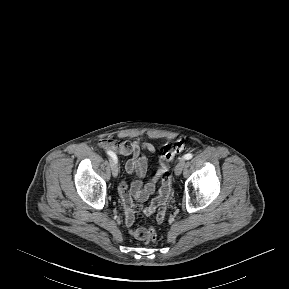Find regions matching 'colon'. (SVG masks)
Segmentation results:
<instances>
[{"instance_id":"obj_1","label":"colon","mask_w":289,"mask_h":289,"mask_svg":"<svg viewBox=\"0 0 289 289\" xmlns=\"http://www.w3.org/2000/svg\"><path fill=\"white\" fill-rule=\"evenodd\" d=\"M183 148H184V143L181 140H177L174 143L165 146L163 149L162 155L167 160H171L172 158H174L175 155L181 152ZM156 240H157V233L155 229L149 228L146 241L155 242Z\"/></svg>"}]
</instances>
